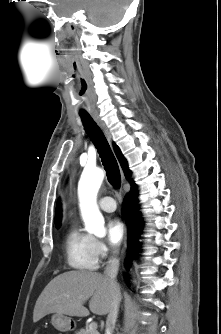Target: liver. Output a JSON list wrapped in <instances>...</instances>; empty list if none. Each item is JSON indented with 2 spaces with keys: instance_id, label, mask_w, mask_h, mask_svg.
I'll use <instances>...</instances> for the list:
<instances>
[{
  "instance_id": "obj_1",
  "label": "liver",
  "mask_w": 221,
  "mask_h": 334,
  "mask_svg": "<svg viewBox=\"0 0 221 334\" xmlns=\"http://www.w3.org/2000/svg\"><path fill=\"white\" fill-rule=\"evenodd\" d=\"M87 300L92 313L96 315L109 313L113 295L112 285L107 278L97 272H64L52 279L38 297L34 307L33 322L50 313L88 316L89 310L84 307Z\"/></svg>"
}]
</instances>
